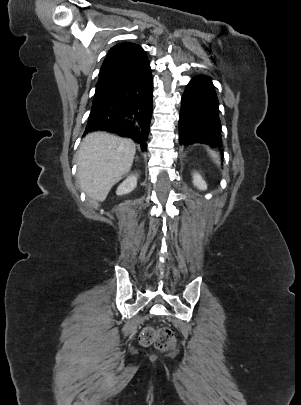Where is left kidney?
I'll use <instances>...</instances> for the list:
<instances>
[{
  "mask_svg": "<svg viewBox=\"0 0 301 405\" xmlns=\"http://www.w3.org/2000/svg\"><path fill=\"white\" fill-rule=\"evenodd\" d=\"M193 184L194 186H196L198 189L200 190H206L207 189V184L206 182L203 180V178L197 174L194 173L193 174Z\"/></svg>",
  "mask_w": 301,
  "mask_h": 405,
  "instance_id": "1",
  "label": "left kidney"
}]
</instances>
